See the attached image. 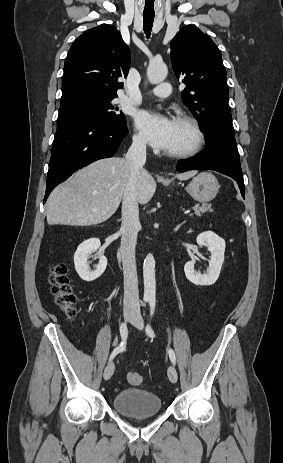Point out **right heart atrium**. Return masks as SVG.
<instances>
[{"instance_id": "obj_1", "label": "right heart atrium", "mask_w": 283, "mask_h": 463, "mask_svg": "<svg viewBox=\"0 0 283 463\" xmlns=\"http://www.w3.org/2000/svg\"><path fill=\"white\" fill-rule=\"evenodd\" d=\"M133 144L135 147L139 149H143L146 147L145 139L141 134L138 133L133 136Z\"/></svg>"}]
</instances>
